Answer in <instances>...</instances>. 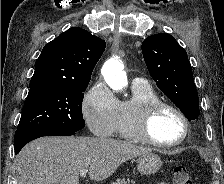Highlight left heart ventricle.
I'll return each mask as SVG.
<instances>
[{
    "label": "left heart ventricle",
    "mask_w": 224,
    "mask_h": 184,
    "mask_svg": "<svg viewBox=\"0 0 224 184\" xmlns=\"http://www.w3.org/2000/svg\"><path fill=\"white\" fill-rule=\"evenodd\" d=\"M183 130V123L179 117L167 109L156 115L151 126L153 137L163 143L179 140Z\"/></svg>",
    "instance_id": "b2bd125f"
}]
</instances>
